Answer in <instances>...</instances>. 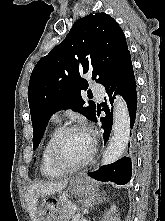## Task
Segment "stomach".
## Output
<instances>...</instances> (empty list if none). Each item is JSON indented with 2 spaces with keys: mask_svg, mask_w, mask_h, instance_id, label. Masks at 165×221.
I'll list each match as a JSON object with an SVG mask.
<instances>
[{
  "mask_svg": "<svg viewBox=\"0 0 165 221\" xmlns=\"http://www.w3.org/2000/svg\"><path fill=\"white\" fill-rule=\"evenodd\" d=\"M69 192L78 196H92L97 193L96 185L88 178L76 177L70 181ZM61 200H36L37 212H31L33 221H65V218H56V213H62Z\"/></svg>",
  "mask_w": 165,
  "mask_h": 221,
  "instance_id": "1",
  "label": "stomach"
}]
</instances>
